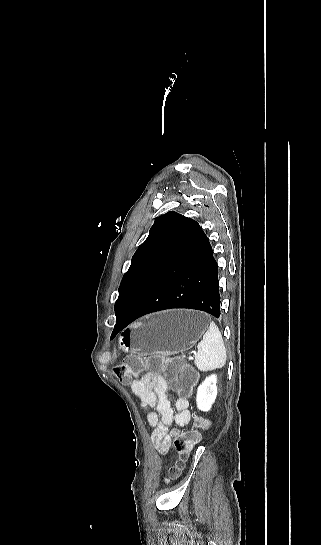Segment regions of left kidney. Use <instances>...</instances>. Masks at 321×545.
<instances>
[{
	"label": "left kidney",
	"instance_id": "left-kidney-1",
	"mask_svg": "<svg viewBox=\"0 0 321 545\" xmlns=\"http://www.w3.org/2000/svg\"><path fill=\"white\" fill-rule=\"evenodd\" d=\"M217 375L206 377L202 385L197 389L196 403L200 411H210L217 397Z\"/></svg>",
	"mask_w": 321,
	"mask_h": 545
}]
</instances>
